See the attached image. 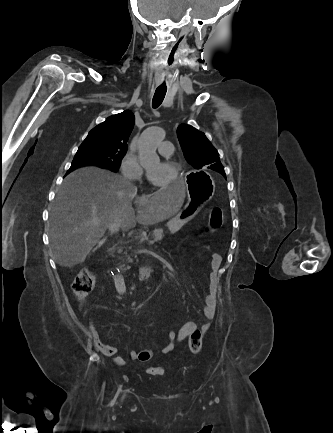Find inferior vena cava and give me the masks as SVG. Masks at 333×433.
Segmentation results:
<instances>
[{
    "instance_id": "obj_1",
    "label": "inferior vena cava",
    "mask_w": 333,
    "mask_h": 433,
    "mask_svg": "<svg viewBox=\"0 0 333 433\" xmlns=\"http://www.w3.org/2000/svg\"><path fill=\"white\" fill-rule=\"evenodd\" d=\"M119 225H120V219L115 218L113 222L109 225V231L111 232V234L119 230Z\"/></svg>"
}]
</instances>
